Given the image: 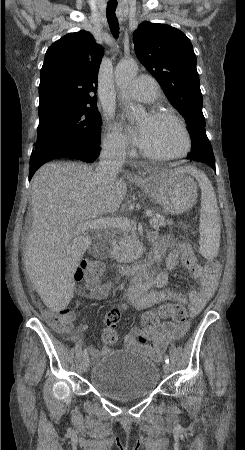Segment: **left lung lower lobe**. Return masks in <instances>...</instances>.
<instances>
[{"instance_id":"1","label":"left lung lower lobe","mask_w":245,"mask_h":450,"mask_svg":"<svg viewBox=\"0 0 245 450\" xmlns=\"http://www.w3.org/2000/svg\"><path fill=\"white\" fill-rule=\"evenodd\" d=\"M198 150L200 151V154L195 156L188 155L187 159L206 163L213 169H215V157L212 149L210 147H202Z\"/></svg>"}]
</instances>
